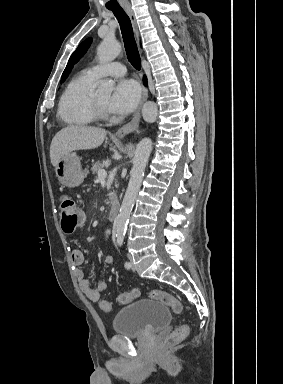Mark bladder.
I'll return each instance as SVG.
<instances>
[{
	"label": "bladder",
	"instance_id": "31cf9c89",
	"mask_svg": "<svg viewBox=\"0 0 283 384\" xmlns=\"http://www.w3.org/2000/svg\"><path fill=\"white\" fill-rule=\"evenodd\" d=\"M169 320L170 313L165 304L149 299H136L118 309L112 329L116 335L138 338L164 328Z\"/></svg>",
	"mask_w": 283,
	"mask_h": 384
}]
</instances>
